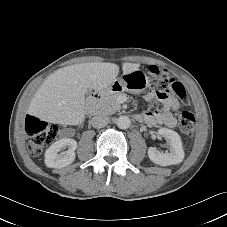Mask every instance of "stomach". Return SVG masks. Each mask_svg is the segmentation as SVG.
I'll list each match as a JSON object with an SVG mask.
<instances>
[{
	"label": "stomach",
	"instance_id": "obj_1",
	"mask_svg": "<svg viewBox=\"0 0 227 227\" xmlns=\"http://www.w3.org/2000/svg\"><path fill=\"white\" fill-rule=\"evenodd\" d=\"M149 77L140 69L134 70L116 79L107 89L108 93H120L126 91L131 94H140L149 86Z\"/></svg>",
	"mask_w": 227,
	"mask_h": 227
}]
</instances>
